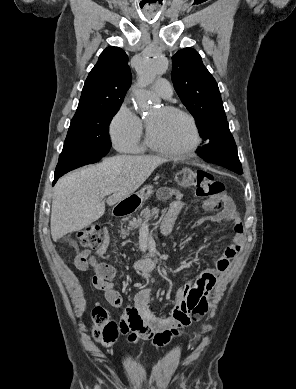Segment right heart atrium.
I'll list each match as a JSON object with an SVG mask.
<instances>
[{
  "mask_svg": "<svg viewBox=\"0 0 296 389\" xmlns=\"http://www.w3.org/2000/svg\"><path fill=\"white\" fill-rule=\"evenodd\" d=\"M144 125L126 103L122 104L109 124V134L114 147L123 153H137L142 149Z\"/></svg>",
  "mask_w": 296,
  "mask_h": 389,
  "instance_id": "obj_1",
  "label": "right heart atrium"
}]
</instances>
